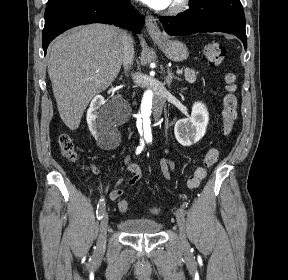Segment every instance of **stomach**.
<instances>
[{"label": "stomach", "instance_id": "obj_1", "mask_svg": "<svg viewBox=\"0 0 288 280\" xmlns=\"http://www.w3.org/2000/svg\"><path fill=\"white\" fill-rule=\"evenodd\" d=\"M165 56L172 61H184L189 57L187 46L178 40L158 39L153 38Z\"/></svg>", "mask_w": 288, "mask_h": 280}]
</instances>
